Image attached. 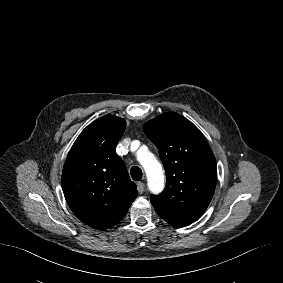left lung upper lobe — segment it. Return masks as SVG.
<instances>
[{"instance_id":"5c2ea615","label":"left lung upper lobe","mask_w":283,"mask_h":283,"mask_svg":"<svg viewBox=\"0 0 283 283\" xmlns=\"http://www.w3.org/2000/svg\"><path fill=\"white\" fill-rule=\"evenodd\" d=\"M143 130L158 148L167 179L164 191L151 195V202L172 226L189 225L204 213L214 194V154L201 131L180 114H161Z\"/></svg>"}]
</instances>
